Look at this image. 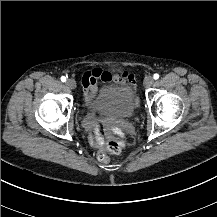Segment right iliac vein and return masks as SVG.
Here are the masks:
<instances>
[{"instance_id":"63e3f726","label":"right iliac vein","mask_w":217,"mask_h":217,"mask_svg":"<svg viewBox=\"0 0 217 217\" xmlns=\"http://www.w3.org/2000/svg\"><path fill=\"white\" fill-rule=\"evenodd\" d=\"M65 84L70 89L76 88V82L73 79H68Z\"/></svg>"}]
</instances>
